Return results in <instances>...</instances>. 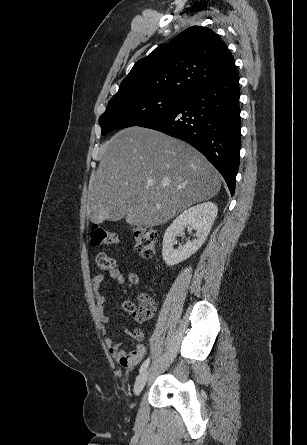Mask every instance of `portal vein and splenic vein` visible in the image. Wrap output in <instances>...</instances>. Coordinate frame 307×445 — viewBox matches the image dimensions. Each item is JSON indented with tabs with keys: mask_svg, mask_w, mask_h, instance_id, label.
I'll return each instance as SVG.
<instances>
[{
	"mask_svg": "<svg viewBox=\"0 0 307 445\" xmlns=\"http://www.w3.org/2000/svg\"><path fill=\"white\" fill-rule=\"evenodd\" d=\"M149 184H153L152 180H148ZM178 188H181V186H178Z\"/></svg>",
	"mask_w": 307,
	"mask_h": 445,
	"instance_id": "portal-vein-and-splenic-vein-1",
	"label": "portal vein and splenic vein"
}]
</instances>
